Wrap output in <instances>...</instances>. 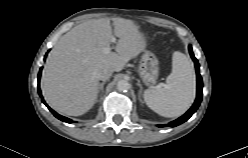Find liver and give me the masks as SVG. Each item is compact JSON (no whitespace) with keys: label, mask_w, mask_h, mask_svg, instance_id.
Here are the masks:
<instances>
[{"label":"liver","mask_w":248,"mask_h":158,"mask_svg":"<svg viewBox=\"0 0 248 158\" xmlns=\"http://www.w3.org/2000/svg\"><path fill=\"white\" fill-rule=\"evenodd\" d=\"M101 18L83 22L63 35L52 49L41 77L46 102L57 112L79 116L92 108L98 94L99 73L105 68L121 71L146 48L134 21ZM118 37L115 52L104 53Z\"/></svg>","instance_id":"1"}]
</instances>
